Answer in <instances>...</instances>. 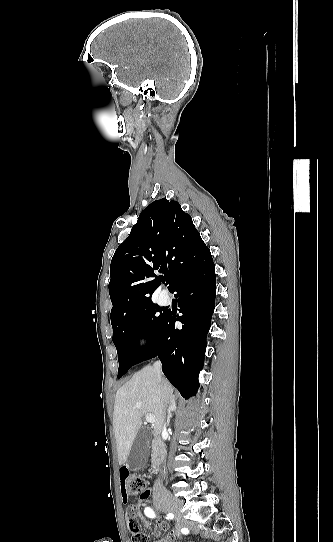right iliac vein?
Returning a JSON list of instances; mask_svg holds the SVG:
<instances>
[{"label": "right iliac vein", "instance_id": "right-iliac-vein-1", "mask_svg": "<svg viewBox=\"0 0 333 542\" xmlns=\"http://www.w3.org/2000/svg\"><path fill=\"white\" fill-rule=\"evenodd\" d=\"M156 505L158 509L162 511H166V512L167 511L172 512L173 514L178 516L179 520L176 526V533H177V536H179L180 530L182 528L181 521L183 520L182 515H181L182 502L179 499L170 496L169 494H164V500L158 501Z\"/></svg>", "mask_w": 333, "mask_h": 542}]
</instances>
